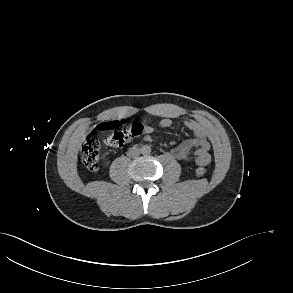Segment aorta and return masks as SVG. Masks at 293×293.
Here are the masks:
<instances>
[{"label": "aorta", "instance_id": "1", "mask_svg": "<svg viewBox=\"0 0 293 293\" xmlns=\"http://www.w3.org/2000/svg\"><path fill=\"white\" fill-rule=\"evenodd\" d=\"M150 152H151L150 146H148V145L142 146V148H141V153L142 154L148 155V154H150Z\"/></svg>", "mask_w": 293, "mask_h": 293}]
</instances>
